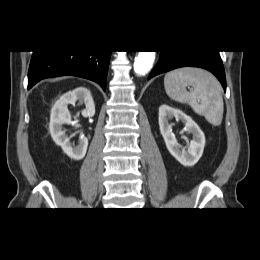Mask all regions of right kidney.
I'll list each match as a JSON object with an SVG mask.
<instances>
[{"label":"right kidney","instance_id":"1","mask_svg":"<svg viewBox=\"0 0 260 260\" xmlns=\"http://www.w3.org/2000/svg\"><path fill=\"white\" fill-rule=\"evenodd\" d=\"M84 104L85 109L81 111L83 117H93L95 114V105L90 91L85 87H78L62 95L53 105L50 115L49 130L53 141L62 148L65 154L71 159L81 160L84 158L88 139L85 136L79 137L78 145L70 142V137L63 130L64 124L71 123V114L68 110L69 104Z\"/></svg>","mask_w":260,"mask_h":260}]
</instances>
